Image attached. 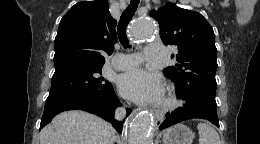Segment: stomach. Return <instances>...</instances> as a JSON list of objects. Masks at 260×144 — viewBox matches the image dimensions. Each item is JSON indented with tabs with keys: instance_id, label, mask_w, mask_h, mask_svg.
I'll return each instance as SVG.
<instances>
[{
	"instance_id": "1",
	"label": "stomach",
	"mask_w": 260,
	"mask_h": 144,
	"mask_svg": "<svg viewBox=\"0 0 260 144\" xmlns=\"http://www.w3.org/2000/svg\"><path fill=\"white\" fill-rule=\"evenodd\" d=\"M194 133L184 124H176L163 133V144H192Z\"/></svg>"
}]
</instances>
